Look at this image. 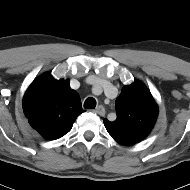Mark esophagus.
Returning a JSON list of instances; mask_svg holds the SVG:
<instances>
[{
    "label": "esophagus",
    "instance_id": "esophagus-1",
    "mask_svg": "<svg viewBox=\"0 0 190 190\" xmlns=\"http://www.w3.org/2000/svg\"><path fill=\"white\" fill-rule=\"evenodd\" d=\"M92 111L100 116H104L106 113L105 108L102 105H99L95 110Z\"/></svg>",
    "mask_w": 190,
    "mask_h": 190
}]
</instances>
